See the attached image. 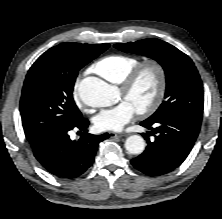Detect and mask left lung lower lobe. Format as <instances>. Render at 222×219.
Wrapping results in <instances>:
<instances>
[{
    "label": "left lung lower lobe",
    "mask_w": 222,
    "mask_h": 219,
    "mask_svg": "<svg viewBox=\"0 0 222 219\" xmlns=\"http://www.w3.org/2000/svg\"><path fill=\"white\" fill-rule=\"evenodd\" d=\"M141 125L152 132L143 134L146 150L131 164L150 176L166 174L182 164L199 134L201 122L183 115H169L158 120H145ZM148 135H154L151 142Z\"/></svg>",
    "instance_id": "1"
}]
</instances>
